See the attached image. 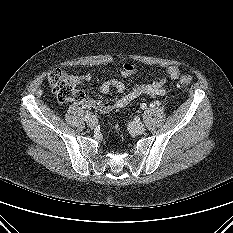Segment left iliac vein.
Listing matches in <instances>:
<instances>
[{
	"label": "left iliac vein",
	"instance_id": "obj_1",
	"mask_svg": "<svg viewBox=\"0 0 233 233\" xmlns=\"http://www.w3.org/2000/svg\"><path fill=\"white\" fill-rule=\"evenodd\" d=\"M129 127L134 134H142L145 132V125L142 122H132Z\"/></svg>",
	"mask_w": 233,
	"mask_h": 233
}]
</instances>
